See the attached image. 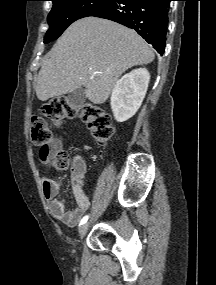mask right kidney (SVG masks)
I'll list each match as a JSON object with an SVG mask.
<instances>
[{
    "mask_svg": "<svg viewBox=\"0 0 216 285\" xmlns=\"http://www.w3.org/2000/svg\"><path fill=\"white\" fill-rule=\"evenodd\" d=\"M150 74L146 68L132 70L119 79L111 94V109L117 122L130 119L145 97Z\"/></svg>",
    "mask_w": 216,
    "mask_h": 285,
    "instance_id": "right-kidney-1",
    "label": "right kidney"
}]
</instances>
